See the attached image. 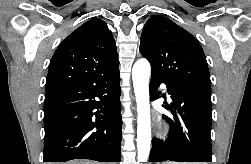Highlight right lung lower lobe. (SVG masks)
<instances>
[{
	"label": "right lung lower lobe",
	"mask_w": 251,
	"mask_h": 164,
	"mask_svg": "<svg viewBox=\"0 0 251 164\" xmlns=\"http://www.w3.org/2000/svg\"><path fill=\"white\" fill-rule=\"evenodd\" d=\"M120 94L118 67L46 91L43 162H120Z\"/></svg>",
	"instance_id": "1"
}]
</instances>
